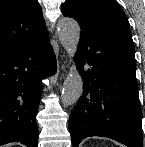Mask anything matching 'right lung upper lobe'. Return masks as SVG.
Returning a JSON list of instances; mask_svg holds the SVG:
<instances>
[{
    "label": "right lung upper lobe",
    "mask_w": 145,
    "mask_h": 147,
    "mask_svg": "<svg viewBox=\"0 0 145 147\" xmlns=\"http://www.w3.org/2000/svg\"><path fill=\"white\" fill-rule=\"evenodd\" d=\"M48 31L37 0H0V57Z\"/></svg>",
    "instance_id": "1"
}]
</instances>
